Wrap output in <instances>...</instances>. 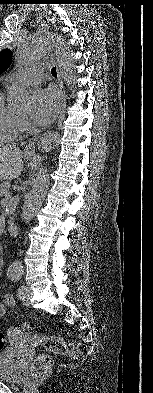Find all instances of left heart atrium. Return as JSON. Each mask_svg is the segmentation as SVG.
I'll return each instance as SVG.
<instances>
[{
    "instance_id": "left-heart-atrium-1",
    "label": "left heart atrium",
    "mask_w": 153,
    "mask_h": 393,
    "mask_svg": "<svg viewBox=\"0 0 153 393\" xmlns=\"http://www.w3.org/2000/svg\"><path fill=\"white\" fill-rule=\"evenodd\" d=\"M61 104L59 92L51 87L40 89L34 96L32 121L38 126H47L56 117Z\"/></svg>"
}]
</instances>
